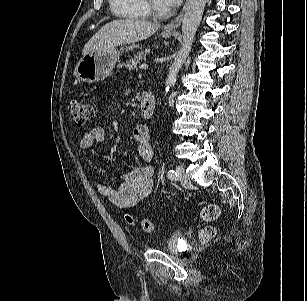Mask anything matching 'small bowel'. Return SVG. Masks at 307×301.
<instances>
[{"label":"small bowel","instance_id":"1","mask_svg":"<svg viewBox=\"0 0 307 301\" xmlns=\"http://www.w3.org/2000/svg\"><path fill=\"white\" fill-rule=\"evenodd\" d=\"M137 143V152L144 162H151L154 157L150 141V131L144 124H139L133 132ZM106 134L103 128L93 127L85 132L80 140L83 150H90L95 143H104ZM154 168L148 164L125 172L121 175L118 185L112 187L107 182L97 179L95 187L100 195L121 209H128L149 197L153 191Z\"/></svg>","mask_w":307,"mask_h":301}]
</instances>
